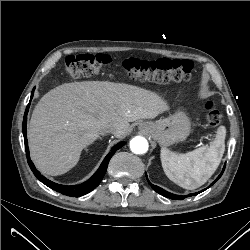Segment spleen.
Returning <instances> with one entry per match:
<instances>
[{
    "instance_id": "obj_1",
    "label": "spleen",
    "mask_w": 250,
    "mask_h": 250,
    "mask_svg": "<svg viewBox=\"0 0 250 250\" xmlns=\"http://www.w3.org/2000/svg\"><path fill=\"white\" fill-rule=\"evenodd\" d=\"M226 129L220 126L209 146L176 154L163 147L161 163L166 176L182 188L193 190L207 182L218 168L225 151Z\"/></svg>"
}]
</instances>
